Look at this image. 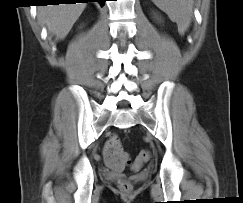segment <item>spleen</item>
I'll list each match as a JSON object with an SVG mask.
<instances>
[{
    "mask_svg": "<svg viewBox=\"0 0 243 203\" xmlns=\"http://www.w3.org/2000/svg\"><path fill=\"white\" fill-rule=\"evenodd\" d=\"M171 21L176 22L178 32L183 35L189 28L193 15L194 0H152Z\"/></svg>",
    "mask_w": 243,
    "mask_h": 203,
    "instance_id": "3e777b00",
    "label": "spleen"
}]
</instances>
